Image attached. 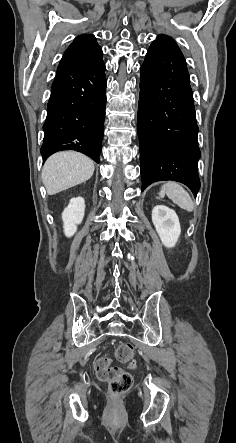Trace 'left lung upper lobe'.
<instances>
[{"label":"left lung upper lobe","instance_id":"left-lung-upper-lobe-1","mask_svg":"<svg viewBox=\"0 0 236 443\" xmlns=\"http://www.w3.org/2000/svg\"><path fill=\"white\" fill-rule=\"evenodd\" d=\"M152 46H162V47H167V48H171V49L180 51L176 42L171 37H168L165 35H159L157 37L156 41L152 42L150 47H152Z\"/></svg>","mask_w":236,"mask_h":443}]
</instances>
